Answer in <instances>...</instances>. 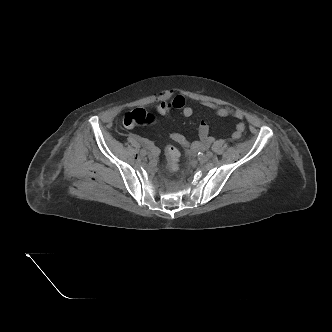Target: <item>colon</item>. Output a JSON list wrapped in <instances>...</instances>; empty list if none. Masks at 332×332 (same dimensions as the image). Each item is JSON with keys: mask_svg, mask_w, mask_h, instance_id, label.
<instances>
[{"mask_svg": "<svg viewBox=\"0 0 332 332\" xmlns=\"http://www.w3.org/2000/svg\"><path fill=\"white\" fill-rule=\"evenodd\" d=\"M154 121V116L144 109H134L125 114L123 124L126 127H134L139 125L149 124ZM164 167L169 171H176L178 169V162L180 153L178 149L172 145H168L165 149Z\"/></svg>", "mask_w": 332, "mask_h": 332, "instance_id": "obj_1", "label": "colon"}]
</instances>
